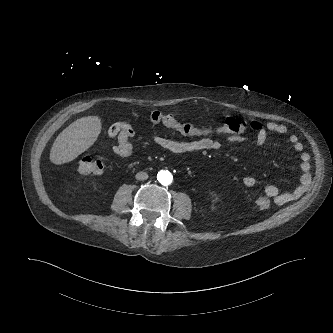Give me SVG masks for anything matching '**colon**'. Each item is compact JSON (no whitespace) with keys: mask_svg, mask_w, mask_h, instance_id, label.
Listing matches in <instances>:
<instances>
[{"mask_svg":"<svg viewBox=\"0 0 333 333\" xmlns=\"http://www.w3.org/2000/svg\"><path fill=\"white\" fill-rule=\"evenodd\" d=\"M148 118L153 123L163 124L188 137L214 138L215 136L243 134L262 128V123L259 121L248 122L235 117H228L222 124L216 126L199 125L193 122L179 121L174 115L162 113L157 110L150 112ZM122 132L126 136L133 135V128L128 121L122 122ZM103 169L104 164L100 158L87 155L79 160L78 170L82 174H100L103 172ZM254 203L262 211L268 210L271 207V200L266 196L258 197Z\"/></svg>","mask_w":333,"mask_h":333,"instance_id":"colon-1","label":"colon"}]
</instances>
